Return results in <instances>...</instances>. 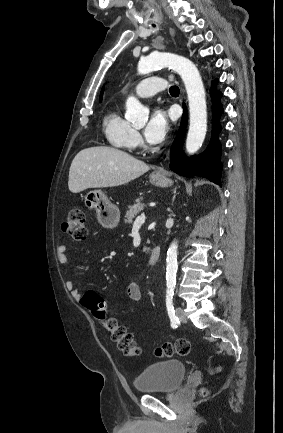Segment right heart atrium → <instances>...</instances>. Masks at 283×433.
Returning <instances> with one entry per match:
<instances>
[{
    "mask_svg": "<svg viewBox=\"0 0 283 433\" xmlns=\"http://www.w3.org/2000/svg\"><path fill=\"white\" fill-rule=\"evenodd\" d=\"M140 143H141L140 134L137 131H134V133L132 134V136L129 139V144L130 145H138Z\"/></svg>",
    "mask_w": 283,
    "mask_h": 433,
    "instance_id": "right-heart-atrium-1",
    "label": "right heart atrium"
}]
</instances>
